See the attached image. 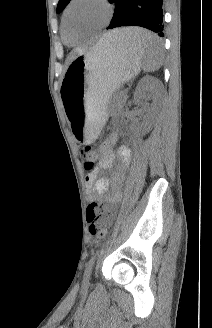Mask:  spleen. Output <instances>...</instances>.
<instances>
[{"label": "spleen", "mask_w": 212, "mask_h": 328, "mask_svg": "<svg viewBox=\"0 0 212 328\" xmlns=\"http://www.w3.org/2000/svg\"><path fill=\"white\" fill-rule=\"evenodd\" d=\"M129 44L132 46L144 50V66L143 69L146 72H153L160 68L163 59V49L159 38L151 32L142 28H131ZM116 38L121 39L119 36ZM148 41L158 42L157 45L149 46L146 43Z\"/></svg>", "instance_id": "3e777b00"}]
</instances>
